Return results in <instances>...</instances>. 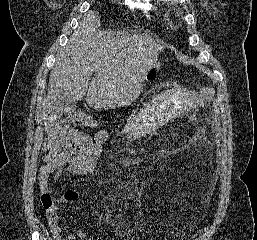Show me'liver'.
<instances>
[{"mask_svg": "<svg viewBox=\"0 0 257 240\" xmlns=\"http://www.w3.org/2000/svg\"><path fill=\"white\" fill-rule=\"evenodd\" d=\"M100 17L89 11L56 56L44 100L50 113L61 93L96 110L121 107L138 95L163 46L147 35L115 37L102 32ZM94 74L91 82L90 78Z\"/></svg>", "mask_w": 257, "mask_h": 240, "instance_id": "obj_1", "label": "liver"}]
</instances>
